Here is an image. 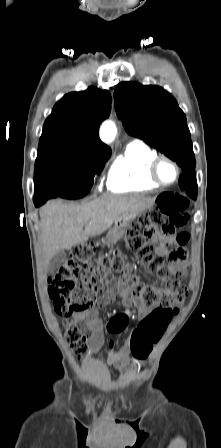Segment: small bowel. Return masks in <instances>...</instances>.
<instances>
[{"label": "small bowel", "instance_id": "c3829d8e", "mask_svg": "<svg viewBox=\"0 0 221 448\" xmlns=\"http://www.w3.org/2000/svg\"><path fill=\"white\" fill-rule=\"evenodd\" d=\"M150 230L157 234L156 228L152 227ZM188 241L189 234L184 230L179 231L173 236L164 235L159 238L158 252L167 256L175 269L185 271L187 268L186 245ZM170 244H174L172 250L168 249ZM117 295L121 296L123 305L126 308L137 305L138 315L142 320L149 317L154 311V309L144 307L131 296L130 288L124 278L109 276L107 279V289L98 298L97 303L88 309L74 313L70 320L71 324H82L83 329L89 333L87 348L90 352H97L104 341V321L100 317L99 311L102 307L112 302ZM129 318L130 315L128 312L115 315L108 322L109 331L111 333H120L127 326ZM131 358L136 359L132 350L130 337L119 348L115 347L114 343L111 342L110 351L105 360L108 365L113 366L118 371H123L129 364Z\"/></svg>", "mask_w": 221, "mask_h": 448}]
</instances>
